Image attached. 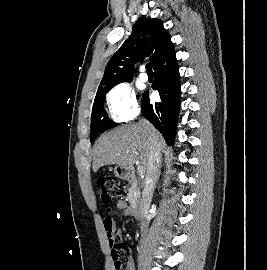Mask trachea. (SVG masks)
Here are the masks:
<instances>
[{
	"label": "trachea",
	"instance_id": "trachea-1",
	"mask_svg": "<svg viewBox=\"0 0 267 270\" xmlns=\"http://www.w3.org/2000/svg\"><path fill=\"white\" fill-rule=\"evenodd\" d=\"M146 70H147V73H153V71H152V64L151 63H147L146 64Z\"/></svg>",
	"mask_w": 267,
	"mask_h": 270
}]
</instances>
